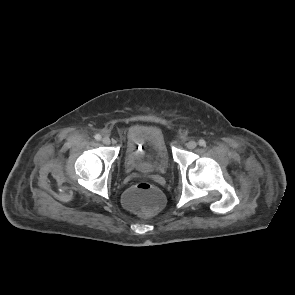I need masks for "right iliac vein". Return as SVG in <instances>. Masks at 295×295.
<instances>
[{
  "label": "right iliac vein",
  "instance_id": "obj_1",
  "mask_svg": "<svg viewBox=\"0 0 295 295\" xmlns=\"http://www.w3.org/2000/svg\"><path fill=\"white\" fill-rule=\"evenodd\" d=\"M102 142L105 145H109L111 143V140L109 137L105 136V137H103Z\"/></svg>",
  "mask_w": 295,
  "mask_h": 295
}]
</instances>
